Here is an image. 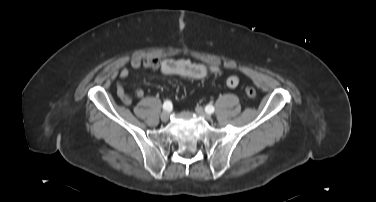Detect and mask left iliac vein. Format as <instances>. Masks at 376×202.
<instances>
[{"mask_svg":"<svg viewBox=\"0 0 376 202\" xmlns=\"http://www.w3.org/2000/svg\"><path fill=\"white\" fill-rule=\"evenodd\" d=\"M195 111L199 114V115H201L202 117H204L206 120H212V117H211V115L209 114V113H207L205 110H204V108L203 107H201V106H196L195 107Z\"/></svg>","mask_w":376,"mask_h":202,"instance_id":"left-iliac-vein-1","label":"left iliac vein"}]
</instances>
